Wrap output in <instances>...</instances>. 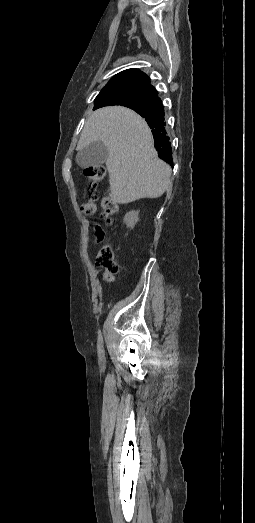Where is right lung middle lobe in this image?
Segmentation results:
<instances>
[{"label":"right lung middle lobe","mask_w":255,"mask_h":523,"mask_svg":"<svg viewBox=\"0 0 255 523\" xmlns=\"http://www.w3.org/2000/svg\"><path fill=\"white\" fill-rule=\"evenodd\" d=\"M105 98L117 102H143L147 100V94L142 90H125L119 92H109Z\"/></svg>","instance_id":"dd1d6c3e"}]
</instances>
